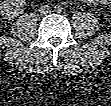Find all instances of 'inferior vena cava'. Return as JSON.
<instances>
[{
	"instance_id": "obj_1",
	"label": "inferior vena cava",
	"mask_w": 111,
	"mask_h": 106,
	"mask_svg": "<svg viewBox=\"0 0 111 106\" xmlns=\"http://www.w3.org/2000/svg\"><path fill=\"white\" fill-rule=\"evenodd\" d=\"M52 11L51 7L48 6V5H43L39 8V12L42 14V15H46L48 13H50Z\"/></svg>"
}]
</instances>
